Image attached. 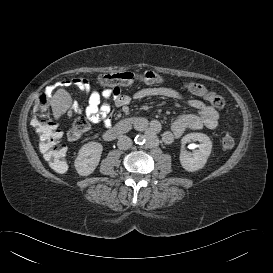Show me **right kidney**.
<instances>
[{
	"mask_svg": "<svg viewBox=\"0 0 273 273\" xmlns=\"http://www.w3.org/2000/svg\"><path fill=\"white\" fill-rule=\"evenodd\" d=\"M103 146L98 142H89L81 147L75 159V168L79 175L88 176L99 164Z\"/></svg>",
	"mask_w": 273,
	"mask_h": 273,
	"instance_id": "ca27d5eb",
	"label": "right kidney"
}]
</instances>
